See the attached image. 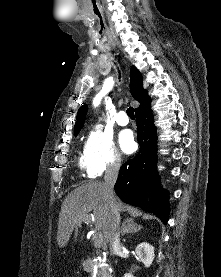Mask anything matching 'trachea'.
Wrapping results in <instances>:
<instances>
[{
    "label": "trachea",
    "instance_id": "3493384b",
    "mask_svg": "<svg viewBox=\"0 0 221 277\" xmlns=\"http://www.w3.org/2000/svg\"><path fill=\"white\" fill-rule=\"evenodd\" d=\"M126 112H127V115H128L131 119H134V118H135L133 107H129V108L127 109Z\"/></svg>",
    "mask_w": 221,
    "mask_h": 277
}]
</instances>
